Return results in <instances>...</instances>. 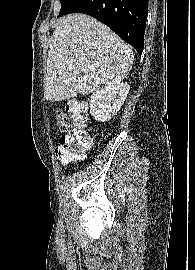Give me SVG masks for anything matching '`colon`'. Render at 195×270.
I'll list each match as a JSON object with an SVG mask.
<instances>
[{"label":"colon","instance_id":"5ec220e1","mask_svg":"<svg viewBox=\"0 0 195 270\" xmlns=\"http://www.w3.org/2000/svg\"><path fill=\"white\" fill-rule=\"evenodd\" d=\"M87 107L84 102L72 99L66 106V111H56V121L64 133L56 155L63 163H69L82 157L84 150L90 145L87 130Z\"/></svg>","mask_w":195,"mask_h":270}]
</instances>
